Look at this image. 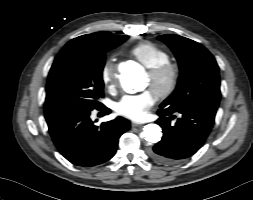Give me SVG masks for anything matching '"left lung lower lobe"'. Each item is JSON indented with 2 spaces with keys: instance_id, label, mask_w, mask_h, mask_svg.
Returning <instances> with one entry per match:
<instances>
[{
  "instance_id": "0a47b994",
  "label": "left lung lower lobe",
  "mask_w": 253,
  "mask_h": 200,
  "mask_svg": "<svg viewBox=\"0 0 253 200\" xmlns=\"http://www.w3.org/2000/svg\"><path fill=\"white\" fill-rule=\"evenodd\" d=\"M215 109L193 108L178 111L180 118L175 125L170 120L173 113L161 108L156 121L163 129L160 142L149 150L152 159L163 164H175L192 156L204 144L214 124Z\"/></svg>"
}]
</instances>
